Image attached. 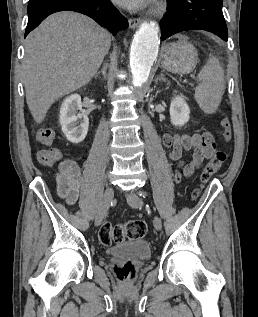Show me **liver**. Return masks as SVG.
Here are the masks:
<instances>
[{
  "label": "liver",
  "instance_id": "obj_1",
  "mask_svg": "<svg viewBox=\"0 0 258 317\" xmlns=\"http://www.w3.org/2000/svg\"><path fill=\"white\" fill-rule=\"evenodd\" d=\"M110 32L79 12H55L25 38L26 100L36 122L51 104L96 74L110 46Z\"/></svg>",
  "mask_w": 258,
  "mask_h": 317
}]
</instances>
